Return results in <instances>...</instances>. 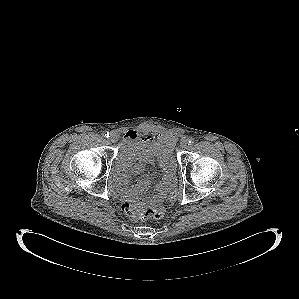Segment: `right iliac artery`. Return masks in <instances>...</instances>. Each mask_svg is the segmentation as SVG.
<instances>
[{"instance_id": "obj_1", "label": "right iliac artery", "mask_w": 299, "mask_h": 299, "mask_svg": "<svg viewBox=\"0 0 299 299\" xmlns=\"http://www.w3.org/2000/svg\"><path fill=\"white\" fill-rule=\"evenodd\" d=\"M102 135H103L104 137H106V138H108V137H109V133H108V132H106V131H105V132H103V133H102Z\"/></svg>"}]
</instances>
